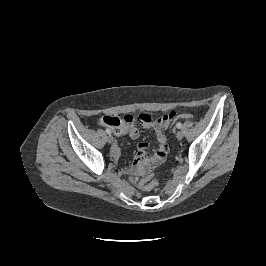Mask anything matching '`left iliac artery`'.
<instances>
[{"mask_svg": "<svg viewBox=\"0 0 266 266\" xmlns=\"http://www.w3.org/2000/svg\"><path fill=\"white\" fill-rule=\"evenodd\" d=\"M176 127L179 129V128L182 127V124H181L180 122H178V123L176 124Z\"/></svg>", "mask_w": 266, "mask_h": 266, "instance_id": "obj_1", "label": "left iliac artery"}]
</instances>
